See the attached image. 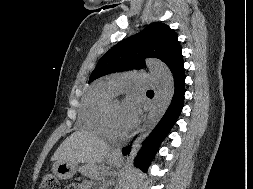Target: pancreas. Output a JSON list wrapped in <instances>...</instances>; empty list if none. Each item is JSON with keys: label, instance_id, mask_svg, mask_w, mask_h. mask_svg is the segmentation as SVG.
Listing matches in <instances>:
<instances>
[{"label": "pancreas", "instance_id": "pancreas-1", "mask_svg": "<svg viewBox=\"0 0 253 189\" xmlns=\"http://www.w3.org/2000/svg\"><path fill=\"white\" fill-rule=\"evenodd\" d=\"M81 173L90 179H99L104 175L102 169L97 166L86 165L81 169Z\"/></svg>", "mask_w": 253, "mask_h": 189}]
</instances>
